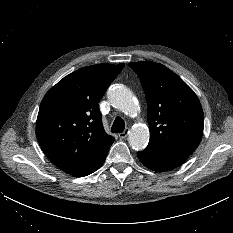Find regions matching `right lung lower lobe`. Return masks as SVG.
<instances>
[{"mask_svg": "<svg viewBox=\"0 0 233 233\" xmlns=\"http://www.w3.org/2000/svg\"><path fill=\"white\" fill-rule=\"evenodd\" d=\"M107 153L104 156H102L95 164H93L92 166L88 167L84 171H81L80 173H78V174H76L74 176L83 177V176H87V175L95 172L104 163Z\"/></svg>", "mask_w": 233, "mask_h": 233, "instance_id": "right-lung-lower-lobe-1", "label": "right lung lower lobe"}]
</instances>
